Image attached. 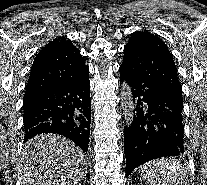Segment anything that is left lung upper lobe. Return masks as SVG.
<instances>
[{
	"label": "left lung upper lobe",
	"instance_id": "left-lung-upper-lobe-1",
	"mask_svg": "<svg viewBox=\"0 0 207 185\" xmlns=\"http://www.w3.org/2000/svg\"><path fill=\"white\" fill-rule=\"evenodd\" d=\"M122 65L132 73L154 79L182 99L176 65L167 46L157 36L149 32H134L124 47Z\"/></svg>",
	"mask_w": 207,
	"mask_h": 185
}]
</instances>
